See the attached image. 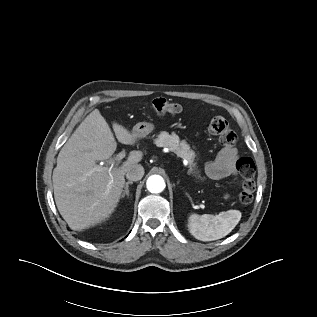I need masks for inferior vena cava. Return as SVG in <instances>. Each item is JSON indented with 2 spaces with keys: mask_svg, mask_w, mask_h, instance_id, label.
<instances>
[{
  "mask_svg": "<svg viewBox=\"0 0 317 317\" xmlns=\"http://www.w3.org/2000/svg\"><path fill=\"white\" fill-rule=\"evenodd\" d=\"M144 175V168L143 166L137 164L132 165L126 171V178L130 181H138L141 180Z\"/></svg>",
  "mask_w": 317,
  "mask_h": 317,
  "instance_id": "602c4592",
  "label": "inferior vena cava"
}]
</instances>
